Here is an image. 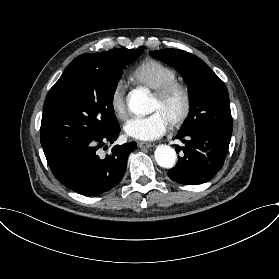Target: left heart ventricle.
<instances>
[{
  "label": "left heart ventricle",
  "mask_w": 279,
  "mask_h": 279,
  "mask_svg": "<svg viewBox=\"0 0 279 279\" xmlns=\"http://www.w3.org/2000/svg\"><path fill=\"white\" fill-rule=\"evenodd\" d=\"M183 106L182 98L179 94H174L166 100H158L153 96L151 102V112L160 111L167 121L171 123L181 112Z\"/></svg>",
  "instance_id": "b2bd125f"
}]
</instances>
